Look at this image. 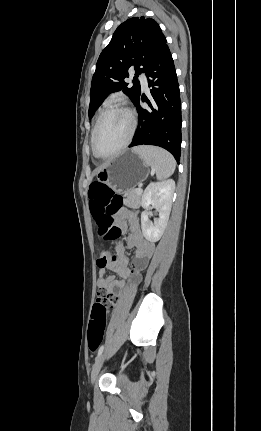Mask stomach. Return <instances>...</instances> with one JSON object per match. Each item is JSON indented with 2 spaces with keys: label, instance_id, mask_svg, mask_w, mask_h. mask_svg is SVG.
<instances>
[{
  "label": "stomach",
  "instance_id": "0dacf381",
  "mask_svg": "<svg viewBox=\"0 0 261 431\" xmlns=\"http://www.w3.org/2000/svg\"><path fill=\"white\" fill-rule=\"evenodd\" d=\"M149 174V165L132 150H126L112 158L96 174L99 182L108 185L115 191L133 190Z\"/></svg>",
  "mask_w": 261,
  "mask_h": 431
}]
</instances>
